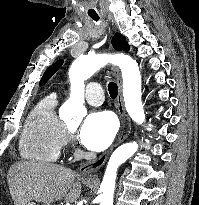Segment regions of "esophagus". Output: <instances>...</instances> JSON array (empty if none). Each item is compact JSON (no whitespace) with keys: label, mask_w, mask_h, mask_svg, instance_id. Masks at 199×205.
<instances>
[{"label":"esophagus","mask_w":199,"mask_h":205,"mask_svg":"<svg viewBox=\"0 0 199 205\" xmlns=\"http://www.w3.org/2000/svg\"><path fill=\"white\" fill-rule=\"evenodd\" d=\"M112 70H113V74L116 79V83L118 85V96L116 99V105H117L118 115H119L120 122H121L120 131H119V134L115 142L107 151L101 154L98 158L92 161H89L87 163H84L80 166L79 173L81 176L95 174V172H97L105 164V162L107 161L109 155L114 150V148H116L119 144L124 142L131 132V122L124 108V102H123V96H122L121 73L117 67H112Z\"/></svg>","instance_id":"obj_1"}]
</instances>
